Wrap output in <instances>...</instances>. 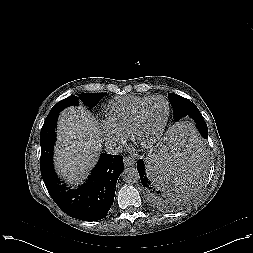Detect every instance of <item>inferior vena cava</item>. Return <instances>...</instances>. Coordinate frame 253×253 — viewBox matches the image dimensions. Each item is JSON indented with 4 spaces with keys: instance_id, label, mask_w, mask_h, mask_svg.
Instances as JSON below:
<instances>
[{
    "instance_id": "inferior-vena-cava-1",
    "label": "inferior vena cava",
    "mask_w": 253,
    "mask_h": 253,
    "mask_svg": "<svg viewBox=\"0 0 253 253\" xmlns=\"http://www.w3.org/2000/svg\"><path fill=\"white\" fill-rule=\"evenodd\" d=\"M105 150L109 154L116 155L122 152V146H117L115 142L108 141L105 143Z\"/></svg>"
}]
</instances>
